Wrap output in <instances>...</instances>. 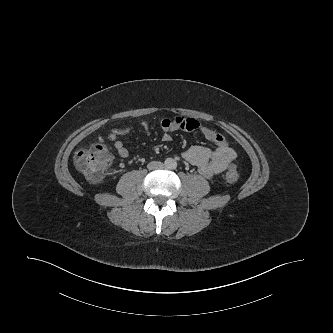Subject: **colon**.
Returning a JSON list of instances; mask_svg holds the SVG:
<instances>
[{"label": "colon", "instance_id": "1", "mask_svg": "<svg viewBox=\"0 0 333 333\" xmlns=\"http://www.w3.org/2000/svg\"><path fill=\"white\" fill-rule=\"evenodd\" d=\"M112 158L107 147L101 143H95L88 148L76 153L74 163L90 182H100L105 177ZM239 169L235 164L229 166L225 173V180L228 184H234L239 179Z\"/></svg>", "mask_w": 333, "mask_h": 333}]
</instances>
